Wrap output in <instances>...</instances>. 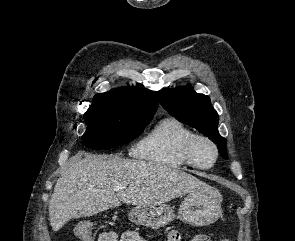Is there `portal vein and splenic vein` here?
<instances>
[{
	"label": "portal vein and splenic vein",
	"mask_w": 295,
	"mask_h": 241,
	"mask_svg": "<svg viewBox=\"0 0 295 241\" xmlns=\"http://www.w3.org/2000/svg\"><path fill=\"white\" fill-rule=\"evenodd\" d=\"M125 188H126V186L121 184V185H118L115 190L118 191V190L125 189Z\"/></svg>",
	"instance_id": "18ae733b"
}]
</instances>
